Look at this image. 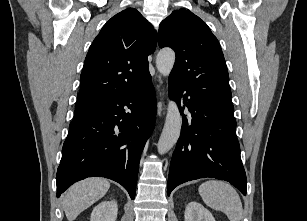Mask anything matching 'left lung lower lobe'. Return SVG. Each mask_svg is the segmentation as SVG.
<instances>
[{
  "label": "left lung lower lobe",
  "instance_id": "obj_1",
  "mask_svg": "<svg viewBox=\"0 0 307 221\" xmlns=\"http://www.w3.org/2000/svg\"><path fill=\"white\" fill-rule=\"evenodd\" d=\"M169 90L170 97L179 104L180 112L184 106L188 107L192 120L188 122L183 115L181 136L170 164L168 195L184 182L205 177L228 181L245 195L247 180L235 118L194 97L172 77H169ZM184 91H187L185 95Z\"/></svg>",
  "mask_w": 307,
  "mask_h": 221
}]
</instances>
